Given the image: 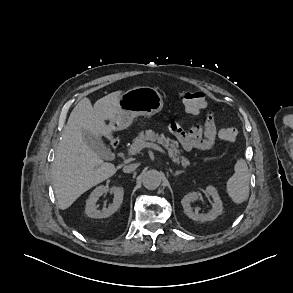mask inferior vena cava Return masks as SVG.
<instances>
[{"label":"inferior vena cava","instance_id":"1","mask_svg":"<svg viewBox=\"0 0 293 293\" xmlns=\"http://www.w3.org/2000/svg\"><path fill=\"white\" fill-rule=\"evenodd\" d=\"M138 167V164H129V165H125L123 167V172L124 173H131L133 172L136 168Z\"/></svg>","mask_w":293,"mask_h":293}]
</instances>
